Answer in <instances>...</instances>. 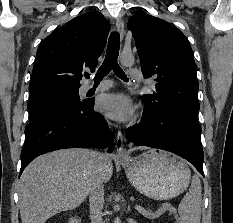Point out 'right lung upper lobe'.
Masks as SVG:
<instances>
[{
	"instance_id": "obj_1",
	"label": "right lung upper lobe",
	"mask_w": 233,
	"mask_h": 223,
	"mask_svg": "<svg viewBox=\"0 0 233 223\" xmlns=\"http://www.w3.org/2000/svg\"><path fill=\"white\" fill-rule=\"evenodd\" d=\"M109 30V22L96 10L54 30L38 47L30 93L53 88H79L83 69L95 71Z\"/></svg>"
}]
</instances>
